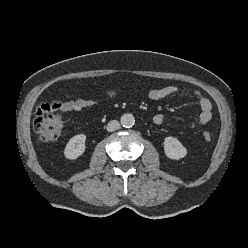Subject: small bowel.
<instances>
[{
  "instance_id": "small-bowel-1",
  "label": "small bowel",
  "mask_w": 248,
  "mask_h": 248,
  "mask_svg": "<svg viewBox=\"0 0 248 248\" xmlns=\"http://www.w3.org/2000/svg\"><path fill=\"white\" fill-rule=\"evenodd\" d=\"M178 92V88L174 85H168L160 88H153L148 91V97L151 100L157 101L172 96ZM195 95L198 98L199 106L201 109L200 115L194 123L191 124V128L206 125L212 118V104L209 98L195 91ZM98 103L95 99H76V100H54L51 103H42L37 110V114L41 115L46 112L60 111L63 113L80 111L85 108H89ZM165 116L163 114H156L153 121L156 125H163L165 123Z\"/></svg>"
}]
</instances>
